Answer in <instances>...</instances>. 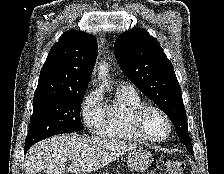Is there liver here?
<instances>
[{"mask_svg": "<svg viewBox=\"0 0 224 174\" xmlns=\"http://www.w3.org/2000/svg\"><path fill=\"white\" fill-rule=\"evenodd\" d=\"M136 144L122 141L72 135H59L34 144L26 154L25 173L64 174L71 160L70 173L86 174L104 167Z\"/></svg>", "mask_w": 224, "mask_h": 174, "instance_id": "6515ba94", "label": "liver"}]
</instances>
